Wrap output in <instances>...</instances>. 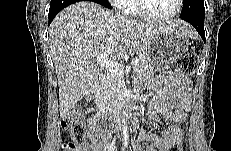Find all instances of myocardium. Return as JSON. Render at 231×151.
<instances>
[{
    "label": "myocardium",
    "mask_w": 231,
    "mask_h": 151,
    "mask_svg": "<svg viewBox=\"0 0 231 151\" xmlns=\"http://www.w3.org/2000/svg\"><path fill=\"white\" fill-rule=\"evenodd\" d=\"M182 2H183L182 0H175V8L173 12L165 16H153V15L148 14L144 9L142 0L135 1V10L138 16L146 21L158 22V23L167 22V21L172 20L178 15L181 9Z\"/></svg>",
    "instance_id": "myocardium-1"
}]
</instances>
